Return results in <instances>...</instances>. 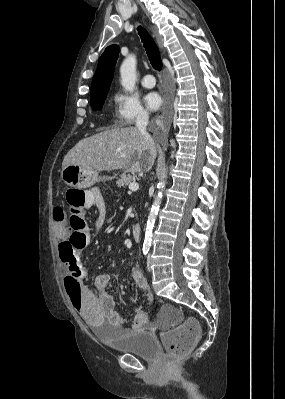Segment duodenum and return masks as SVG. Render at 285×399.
I'll return each instance as SVG.
<instances>
[{
  "mask_svg": "<svg viewBox=\"0 0 285 399\" xmlns=\"http://www.w3.org/2000/svg\"><path fill=\"white\" fill-rule=\"evenodd\" d=\"M142 228L139 224H135L132 227V236L136 242H141L142 240Z\"/></svg>",
  "mask_w": 285,
  "mask_h": 399,
  "instance_id": "obj_1",
  "label": "duodenum"
}]
</instances>
